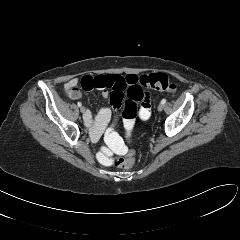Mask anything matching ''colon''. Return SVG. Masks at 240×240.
<instances>
[{"instance_id":"colon-1","label":"colon","mask_w":240,"mask_h":240,"mask_svg":"<svg viewBox=\"0 0 240 240\" xmlns=\"http://www.w3.org/2000/svg\"><path fill=\"white\" fill-rule=\"evenodd\" d=\"M140 86L155 91L173 92L177 88L176 82L165 73H151L143 75L139 79ZM73 92L77 91V87L72 88ZM127 99L125 101L123 118L126 121L133 122L137 113V103L141 100V91L138 86L128 88ZM135 162V152L130 150L125 156L114 159V165L118 168L127 169L133 166Z\"/></svg>"}]
</instances>
